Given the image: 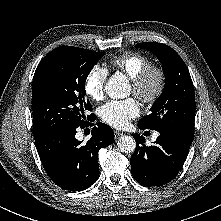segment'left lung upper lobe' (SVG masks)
<instances>
[{
    "label": "left lung upper lobe",
    "mask_w": 221,
    "mask_h": 221,
    "mask_svg": "<svg viewBox=\"0 0 221 221\" xmlns=\"http://www.w3.org/2000/svg\"><path fill=\"white\" fill-rule=\"evenodd\" d=\"M151 51L162 63L165 86L149 115L138 125L144 129L178 128L194 134L195 96L189 70L182 58L169 46L158 42L136 45Z\"/></svg>",
    "instance_id": "obj_1"
}]
</instances>
